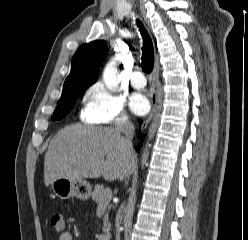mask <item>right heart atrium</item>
Wrapping results in <instances>:
<instances>
[{
	"label": "right heart atrium",
	"instance_id": "right-heart-atrium-1",
	"mask_svg": "<svg viewBox=\"0 0 248 240\" xmlns=\"http://www.w3.org/2000/svg\"><path fill=\"white\" fill-rule=\"evenodd\" d=\"M82 118L94 124L128 122L123 99L111 93L102 82H96L88 87Z\"/></svg>",
	"mask_w": 248,
	"mask_h": 240
}]
</instances>
